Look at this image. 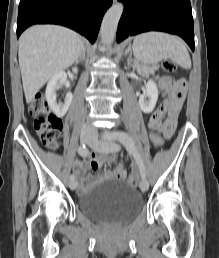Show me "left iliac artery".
I'll return each instance as SVG.
<instances>
[{
	"mask_svg": "<svg viewBox=\"0 0 219 258\" xmlns=\"http://www.w3.org/2000/svg\"><path fill=\"white\" fill-rule=\"evenodd\" d=\"M113 139L118 140L120 143H122L125 146V148L127 149V151L134 156V158L138 164L141 177L145 178L146 177L145 167H144V164L140 157V154L137 151V148L135 146V143H134L132 137L129 134H127L126 132L118 131V132H115Z\"/></svg>",
	"mask_w": 219,
	"mask_h": 258,
	"instance_id": "left-iliac-artery-1",
	"label": "left iliac artery"
}]
</instances>
